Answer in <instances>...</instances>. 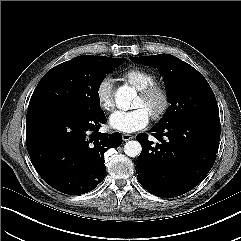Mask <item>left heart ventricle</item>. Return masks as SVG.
I'll return each instance as SVG.
<instances>
[{
    "label": "left heart ventricle",
    "mask_w": 241,
    "mask_h": 241,
    "mask_svg": "<svg viewBox=\"0 0 241 241\" xmlns=\"http://www.w3.org/2000/svg\"><path fill=\"white\" fill-rule=\"evenodd\" d=\"M160 104V100L159 98H153L151 100H143L139 95L137 96L134 104H133V107L134 108H137V107H143L145 108L149 114L152 110L156 109Z\"/></svg>",
    "instance_id": "left-heart-ventricle-1"
}]
</instances>
